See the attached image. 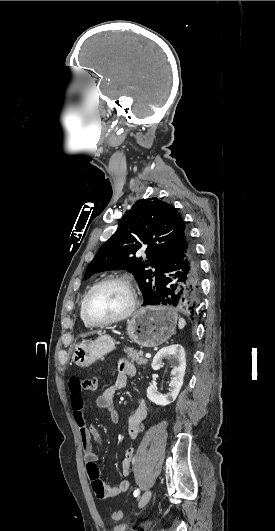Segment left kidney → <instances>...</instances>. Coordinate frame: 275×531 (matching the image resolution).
Returning a JSON list of instances; mask_svg holds the SVG:
<instances>
[{
	"instance_id": "1",
	"label": "left kidney",
	"mask_w": 275,
	"mask_h": 531,
	"mask_svg": "<svg viewBox=\"0 0 275 531\" xmlns=\"http://www.w3.org/2000/svg\"><path fill=\"white\" fill-rule=\"evenodd\" d=\"M169 355H175L178 361V365H176L171 371V375H173L172 381H170L169 385V387H171V393H167V395H157L154 387H148L147 389V397L149 401H152L155 405H163V407H165V405H170V403H173V401L177 399L179 391L183 385L186 369L185 351L183 347H181V345H170V347H163V349H160L157 355H155L151 365L153 371H158L162 359H164V357H169Z\"/></svg>"
}]
</instances>
